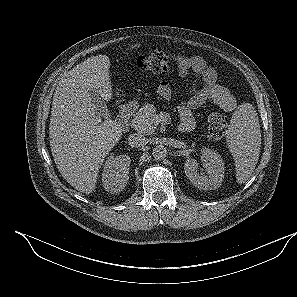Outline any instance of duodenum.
Here are the masks:
<instances>
[{
  "label": "duodenum",
  "instance_id": "1",
  "mask_svg": "<svg viewBox=\"0 0 297 297\" xmlns=\"http://www.w3.org/2000/svg\"><path fill=\"white\" fill-rule=\"evenodd\" d=\"M136 110V104L133 102L127 103L121 107L119 110L118 116L116 118V123L118 127L123 130L127 131L128 130V123L129 119L132 116V114Z\"/></svg>",
  "mask_w": 297,
  "mask_h": 297
}]
</instances>
